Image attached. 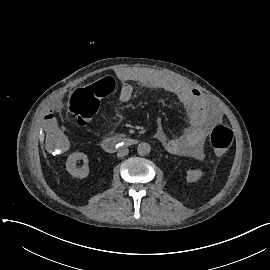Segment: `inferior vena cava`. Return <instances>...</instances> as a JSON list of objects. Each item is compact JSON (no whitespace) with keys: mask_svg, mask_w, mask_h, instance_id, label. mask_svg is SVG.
I'll use <instances>...</instances> for the list:
<instances>
[{"mask_svg":"<svg viewBox=\"0 0 270 270\" xmlns=\"http://www.w3.org/2000/svg\"><path fill=\"white\" fill-rule=\"evenodd\" d=\"M129 150L128 149H121L118 151L117 156L118 157H123L126 156L128 154Z\"/></svg>","mask_w":270,"mask_h":270,"instance_id":"1","label":"inferior vena cava"}]
</instances>
